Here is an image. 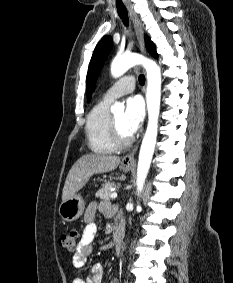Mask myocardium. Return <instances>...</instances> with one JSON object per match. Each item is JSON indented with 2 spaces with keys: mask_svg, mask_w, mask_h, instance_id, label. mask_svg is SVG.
Instances as JSON below:
<instances>
[{
  "mask_svg": "<svg viewBox=\"0 0 233 283\" xmlns=\"http://www.w3.org/2000/svg\"><path fill=\"white\" fill-rule=\"evenodd\" d=\"M110 138L116 148H125L134 140L133 135L128 137H122L120 135L114 116H111L110 118Z\"/></svg>",
  "mask_w": 233,
  "mask_h": 283,
  "instance_id": "f54148a6",
  "label": "myocardium"
}]
</instances>
